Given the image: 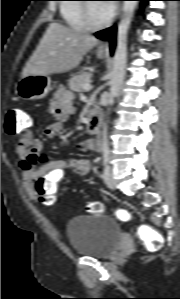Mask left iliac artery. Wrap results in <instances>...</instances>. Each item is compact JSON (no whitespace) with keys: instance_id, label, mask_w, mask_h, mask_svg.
Returning a JSON list of instances; mask_svg holds the SVG:
<instances>
[{"instance_id":"left-iliac-artery-1","label":"left iliac artery","mask_w":180,"mask_h":299,"mask_svg":"<svg viewBox=\"0 0 180 299\" xmlns=\"http://www.w3.org/2000/svg\"><path fill=\"white\" fill-rule=\"evenodd\" d=\"M110 160V150L108 148H105L103 150V163L104 165H107Z\"/></svg>"}]
</instances>
